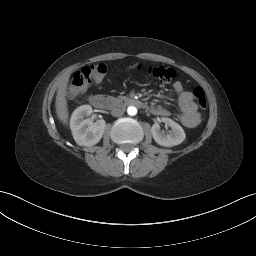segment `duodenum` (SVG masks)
<instances>
[{"label": "duodenum", "mask_w": 256, "mask_h": 256, "mask_svg": "<svg viewBox=\"0 0 256 256\" xmlns=\"http://www.w3.org/2000/svg\"><path fill=\"white\" fill-rule=\"evenodd\" d=\"M90 103L93 107L97 109H105L110 106L111 101L104 95L94 94L90 97ZM128 105H133L141 108H147V104L136 98H128L124 101Z\"/></svg>", "instance_id": "1"}]
</instances>
